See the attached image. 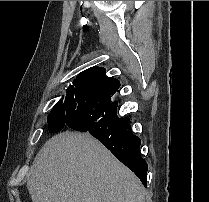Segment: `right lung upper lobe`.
<instances>
[{"mask_svg":"<svg viewBox=\"0 0 209 202\" xmlns=\"http://www.w3.org/2000/svg\"><path fill=\"white\" fill-rule=\"evenodd\" d=\"M78 75H89V76L92 77V79H97V78H100L102 76H105V69L94 66V67H91V68L81 72Z\"/></svg>","mask_w":209,"mask_h":202,"instance_id":"right-lung-upper-lobe-1","label":"right lung upper lobe"}]
</instances>
